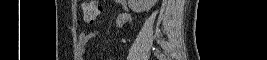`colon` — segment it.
I'll return each mask as SVG.
<instances>
[{
  "mask_svg": "<svg viewBox=\"0 0 267 60\" xmlns=\"http://www.w3.org/2000/svg\"><path fill=\"white\" fill-rule=\"evenodd\" d=\"M83 18L86 22H93L99 18L103 12V6L101 1L87 0L82 5Z\"/></svg>",
  "mask_w": 267,
  "mask_h": 60,
  "instance_id": "colon-1",
  "label": "colon"
}]
</instances>
